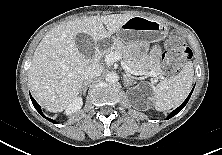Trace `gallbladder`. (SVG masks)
I'll return each mask as SVG.
<instances>
[{
    "mask_svg": "<svg viewBox=\"0 0 222 155\" xmlns=\"http://www.w3.org/2000/svg\"><path fill=\"white\" fill-rule=\"evenodd\" d=\"M75 42L78 50L85 58H92L94 56L95 43L89 35L79 33L75 36Z\"/></svg>",
    "mask_w": 222,
    "mask_h": 155,
    "instance_id": "gallbladder-1",
    "label": "gallbladder"
}]
</instances>
